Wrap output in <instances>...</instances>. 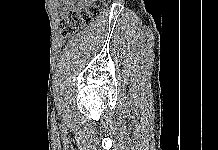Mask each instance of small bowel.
Instances as JSON below:
<instances>
[{
  "mask_svg": "<svg viewBox=\"0 0 218 150\" xmlns=\"http://www.w3.org/2000/svg\"><path fill=\"white\" fill-rule=\"evenodd\" d=\"M60 10L62 13H68L70 10H76L79 7L87 6L92 3L93 0H59Z\"/></svg>",
  "mask_w": 218,
  "mask_h": 150,
  "instance_id": "obj_1",
  "label": "small bowel"
}]
</instances>
